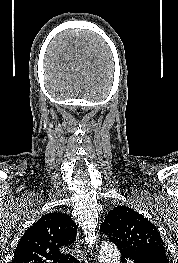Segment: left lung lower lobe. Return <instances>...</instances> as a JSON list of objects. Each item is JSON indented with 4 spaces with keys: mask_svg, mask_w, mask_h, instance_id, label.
<instances>
[{
    "mask_svg": "<svg viewBox=\"0 0 178 263\" xmlns=\"http://www.w3.org/2000/svg\"><path fill=\"white\" fill-rule=\"evenodd\" d=\"M118 249L121 252L122 263L127 261L133 263H169L167 256L159 255L154 252L120 247H118Z\"/></svg>",
    "mask_w": 178,
    "mask_h": 263,
    "instance_id": "obj_1",
    "label": "left lung lower lobe"
}]
</instances>
